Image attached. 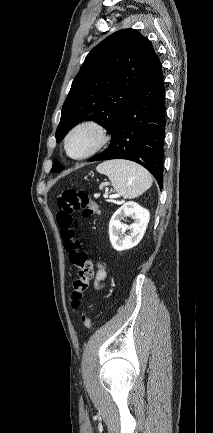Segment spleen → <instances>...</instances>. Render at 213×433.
<instances>
[{
  "mask_svg": "<svg viewBox=\"0 0 213 433\" xmlns=\"http://www.w3.org/2000/svg\"><path fill=\"white\" fill-rule=\"evenodd\" d=\"M96 170L106 175L114 190L128 199L143 194L152 185V177L149 172L131 161H105L99 164Z\"/></svg>",
  "mask_w": 213,
  "mask_h": 433,
  "instance_id": "3e777b00",
  "label": "spleen"
}]
</instances>
